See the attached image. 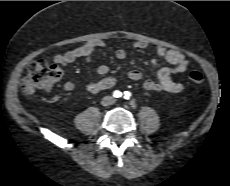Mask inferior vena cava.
Segmentation results:
<instances>
[{
	"instance_id": "1",
	"label": "inferior vena cava",
	"mask_w": 230,
	"mask_h": 186,
	"mask_svg": "<svg viewBox=\"0 0 230 186\" xmlns=\"http://www.w3.org/2000/svg\"><path fill=\"white\" fill-rule=\"evenodd\" d=\"M114 102H115V99L112 96H106L103 98L101 103L103 106H108V105L113 104Z\"/></svg>"
}]
</instances>
